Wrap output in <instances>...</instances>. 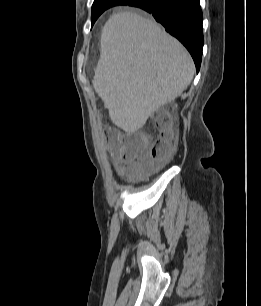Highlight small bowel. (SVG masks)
<instances>
[{
	"label": "small bowel",
	"instance_id": "1",
	"mask_svg": "<svg viewBox=\"0 0 261 306\" xmlns=\"http://www.w3.org/2000/svg\"><path fill=\"white\" fill-rule=\"evenodd\" d=\"M118 164L122 170L126 168H131L136 172H141L144 168L143 163L135 160H130L125 154L118 160Z\"/></svg>",
	"mask_w": 261,
	"mask_h": 306
}]
</instances>
